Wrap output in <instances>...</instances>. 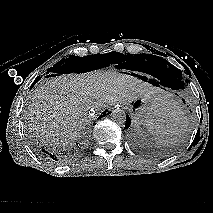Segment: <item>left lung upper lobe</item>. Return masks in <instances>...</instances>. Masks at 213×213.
Returning a JSON list of instances; mask_svg holds the SVG:
<instances>
[{
	"label": "left lung upper lobe",
	"instance_id": "5c2ea615",
	"mask_svg": "<svg viewBox=\"0 0 213 213\" xmlns=\"http://www.w3.org/2000/svg\"><path fill=\"white\" fill-rule=\"evenodd\" d=\"M133 62L145 73L168 78L175 86L174 90H183L188 84V80H183L182 72L178 68L157 55L139 54Z\"/></svg>",
	"mask_w": 213,
	"mask_h": 213
}]
</instances>
